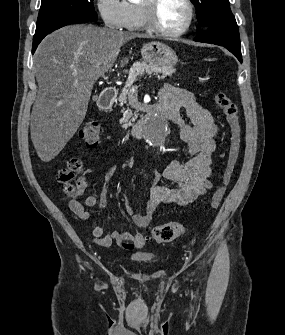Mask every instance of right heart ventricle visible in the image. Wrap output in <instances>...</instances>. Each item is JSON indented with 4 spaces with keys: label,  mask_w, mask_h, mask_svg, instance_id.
Returning a JSON list of instances; mask_svg holds the SVG:
<instances>
[{
    "label": "right heart ventricle",
    "mask_w": 285,
    "mask_h": 335,
    "mask_svg": "<svg viewBox=\"0 0 285 335\" xmlns=\"http://www.w3.org/2000/svg\"><path fill=\"white\" fill-rule=\"evenodd\" d=\"M133 15L126 24L130 30L140 31L145 28L144 19V1H129L127 2ZM162 60H172L169 57H165Z\"/></svg>",
    "instance_id": "right-heart-ventricle-1"
}]
</instances>
